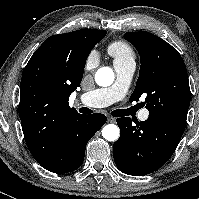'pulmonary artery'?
Segmentation results:
<instances>
[{"mask_svg":"<svg viewBox=\"0 0 199 199\" xmlns=\"http://www.w3.org/2000/svg\"><path fill=\"white\" fill-rule=\"evenodd\" d=\"M114 68L117 74L116 81L107 88L83 93L80 96L83 104L88 107H105L121 100L125 96L135 72V62L115 63ZM148 117L149 111L147 109L140 111L139 119L141 121L147 120Z\"/></svg>","mask_w":199,"mask_h":199,"instance_id":"pulmonary-artery-1","label":"pulmonary artery"}]
</instances>
